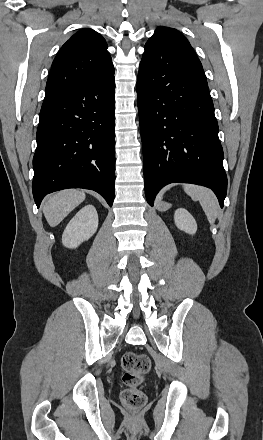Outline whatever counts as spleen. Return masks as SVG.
I'll use <instances>...</instances> for the list:
<instances>
[{"label": "spleen", "instance_id": "1", "mask_svg": "<svg viewBox=\"0 0 263 440\" xmlns=\"http://www.w3.org/2000/svg\"><path fill=\"white\" fill-rule=\"evenodd\" d=\"M183 189L194 201H199L210 224H213L219 212V203L215 194L208 188L193 184H183Z\"/></svg>", "mask_w": 263, "mask_h": 440}]
</instances>
